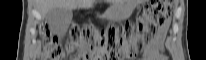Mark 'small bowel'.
<instances>
[{
	"label": "small bowel",
	"instance_id": "1",
	"mask_svg": "<svg viewBox=\"0 0 206 60\" xmlns=\"http://www.w3.org/2000/svg\"><path fill=\"white\" fill-rule=\"evenodd\" d=\"M168 24H164L159 27L155 39L153 41V45L151 47L150 56L156 59H163V55L161 54L162 43L167 33Z\"/></svg>",
	"mask_w": 206,
	"mask_h": 60
}]
</instances>
